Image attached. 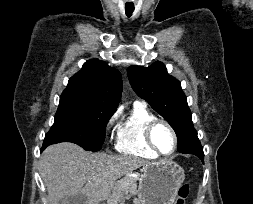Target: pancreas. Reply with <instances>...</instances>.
<instances>
[{"mask_svg": "<svg viewBox=\"0 0 253 204\" xmlns=\"http://www.w3.org/2000/svg\"><path fill=\"white\" fill-rule=\"evenodd\" d=\"M137 181L136 177L126 176L121 180L117 181L113 187V194L111 196V202L109 204H114L115 199L124 200L128 193L132 195L137 194Z\"/></svg>", "mask_w": 253, "mask_h": 204, "instance_id": "1", "label": "pancreas"}]
</instances>
